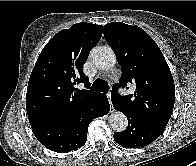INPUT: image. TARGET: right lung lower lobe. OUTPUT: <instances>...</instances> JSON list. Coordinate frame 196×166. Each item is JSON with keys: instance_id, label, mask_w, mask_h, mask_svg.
Returning <instances> with one entry per match:
<instances>
[{"instance_id": "1", "label": "right lung lower lobe", "mask_w": 196, "mask_h": 166, "mask_svg": "<svg viewBox=\"0 0 196 166\" xmlns=\"http://www.w3.org/2000/svg\"><path fill=\"white\" fill-rule=\"evenodd\" d=\"M109 110L107 96L101 94L83 106L72 119L32 129V131L39 142L49 150L67 153L85 144L90 122L107 114Z\"/></svg>"}]
</instances>
